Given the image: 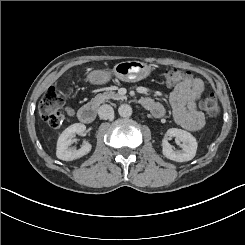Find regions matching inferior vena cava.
<instances>
[{
	"instance_id": "1",
	"label": "inferior vena cava",
	"mask_w": 245,
	"mask_h": 245,
	"mask_svg": "<svg viewBox=\"0 0 245 245\" xmlns=\"http://www.w3.org/2000/svg\"><path fill=\"white\" fill-rule=\"evenodd\" d=\"M98 115L101 119L107 120L114 115V110L109 104H103L99 107Z\"/></svg>"
}]
</instances>
